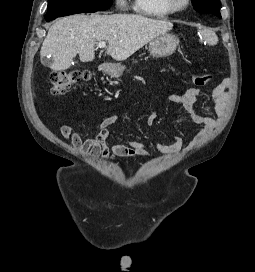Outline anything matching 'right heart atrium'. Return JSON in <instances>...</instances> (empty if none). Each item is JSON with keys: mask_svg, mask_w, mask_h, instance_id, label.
I'll list each match as a JSON object with an SVG mask.
<instances>
[{"mask_svg": "<svg viewBox=\"0 0 255 272\" xmlns=\"http://www.w3.org/2000/svg\"><path fill=\"white\" fill-rule=\"evenodd\" d=\"M116 6L119 10H125L127 8L126 0H116Z\"/></svg>", "mask_w": 255, "mask_h": 272, "instance_id": "1", "label": "right heart atrium"}]
</instances>
